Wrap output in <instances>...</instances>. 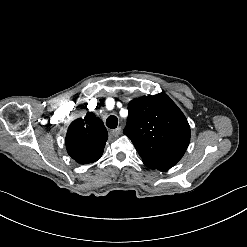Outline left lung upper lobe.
I'll return each mask as SVG.
<instances>
[{"label":"left lung upper lobe","instance_id":"left-lung-upper-lobe-1","mask_svg":"<svg viewBox=\"0 0 247 247\" xmlns=\"http://www.w3.org/2000/svg\"><path fill=\"white\" fill-rule=\"evenodd\" d=\"M128 111L123 133L147 167L168 171L189 145L190 126L186 117L164 93L133 99Z\"/></svg>","mask_w":247,"mask_h":247}]
</instances>
